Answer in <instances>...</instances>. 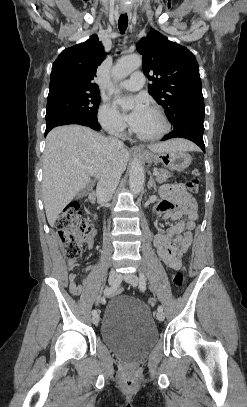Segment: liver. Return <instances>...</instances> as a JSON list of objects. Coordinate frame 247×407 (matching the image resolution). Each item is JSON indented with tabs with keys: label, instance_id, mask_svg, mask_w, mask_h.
Returning a JSON list of instances; mask_svg holds the SVG:
<instances>
[{
	"label": "liver",
	"instance_id": "1",
	"mask_svg": "<svg viewBox=\"0 0 247 407\" xmlns=\"http://www.w3.org/2000/svg\"><path fill=\"white\" fill-rule=\"evenodd\" d=\"M152 152L167 150H195L193 143L184 139L149 145ZM129 151L113 145L110 140L92 129L67 125L53 129L46 138L43 154L42 191L46 217L50 226L63 208L90 182V176L99 179L104 173L126 169ZM87 169H92L90 174Z\"/></svg>",
	"mask_w": 247,
	"mask_h": 407
}]
</instances>
